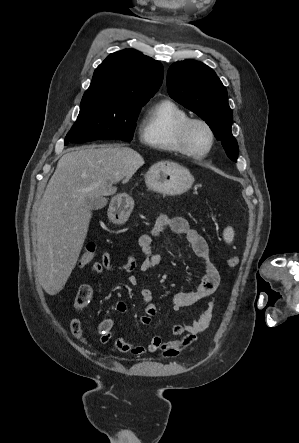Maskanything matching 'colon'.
Returning <instances> with one entry per match:
<instances>
[{"label": "colon", "instance_id": "colon-1", "mask_svg": "<svg viewBox=\"0 0 299 443\" xmlns=\"http://www.w3.org/2000/svg\"><path fill=\"white\" fill-rule=\"evenodd\" d=\"M96 246L94 243H89L83 249L79 259V265L84 267L91 264L95 258ZM227 264L231 268H235L239 264V258L237 256H230L227 259Z\"/></svg>", "mask_w": 299, "mask_h": 443}]
</instances>
